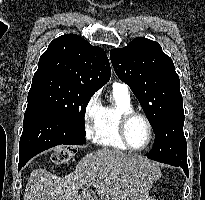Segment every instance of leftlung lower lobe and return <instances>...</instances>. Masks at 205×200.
<instances>
[{"instance_id":"left-lung-lower-lobe-1","label":"left lung lower lobe","mask_w":205,"mask_h":200,"mask_svg":"<svg viewBox=\"0 0 205 200\" xmlns=\"http://www.w3.org/2000/svg\"><path fill=\"white\" fill-rule=\"evenodd\" d=\"M183 108L169 113L155 134V142L147 157L162 163L179 166L188 176L187 143L183 133Z\"/></svg>"}]
</instances>
